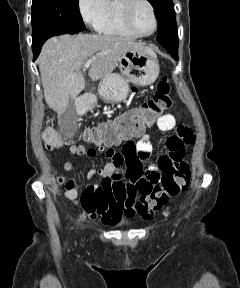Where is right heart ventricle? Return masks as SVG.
<instances>
[{"label": "right heart ventricle", "mask_w": 240, "mask_h": 288, "mask_svg": "<svg viewBox=\"0 0 240 288\" xmlns=\"http://www.w3.org/2000/svg\"><path fill=\"white\" fill-rule=\"evenodd\" d=\"M96 29L107 35L136 38L123 23L121 0H107L105 14Z\"/></svg>", "instance_id": "1"}]
</instances>
